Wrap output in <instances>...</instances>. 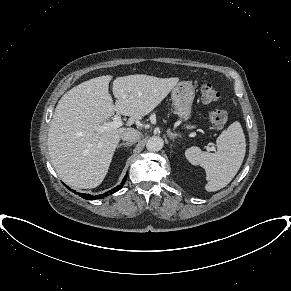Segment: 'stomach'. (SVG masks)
I'll list each match as a JSON object with an SVG mask.
<instances>
[{
	"label": "stomach",
	"mask_w": 291,
	"mask_h": 291,
	"mask_svg": "<svg viewBox=\"0 0 291 291\" xmlns=\"http://www.w3.org/2000/svg\"><path fill=\"white\" fill-rule=\"evenodd\" d=\"M195 90L191 82H179L171 93L175 114L182 120L188 121L192 113V103Z\"/></svg>",
	"instance_id": "0dacf381"
}]
</instances>
